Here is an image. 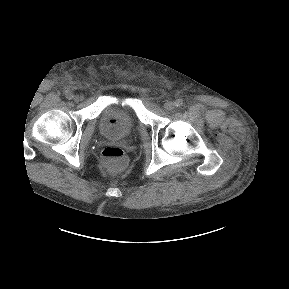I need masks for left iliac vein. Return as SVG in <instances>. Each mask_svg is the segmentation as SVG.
<instances>
[{
    "mask_svg": "<svg viewBox=\"0 0 289 289\" xmlns=\"http://www.w3.org/2000/svg\"><path fill=\"white\" fill-rule=\"evenodd\" d=\"M174 103L172 101H166L164 104V108L168 111L173 110L174 109Z\"/></svg>",
    "mask_w": 289,
    "mask_h": 289,
    "instance_id": "4c4485c4",
    "label": "left iliac vein"
}]
</instances>
